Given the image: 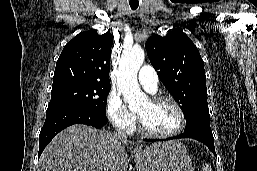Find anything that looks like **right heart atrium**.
Here are the masks:
<instances>
[{
	"label": "right heart atrium",
	"mask_w": 257,
	"mask_h": 171,
	"mask_svg": "<svg viewBox=\"0 0 257 171\" xmlns=\"http://www.w3.org/2000/svg\"><path fill=\"white\" fill-rule=\"evenodd\" d=\"M106 114L118 130L129 132L133 129L136 116L128 109L119 93L114 91L109 93L106 101Z\"/></svg>",
	"instance_id": "1"
}]
</instances>
